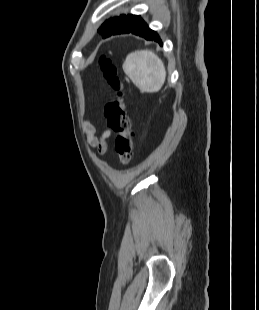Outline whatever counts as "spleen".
<instances>
[{
  "instance_id": "obj_1",
  "label": "spleen",
  "mask_w": 259,
  "mask_h": 310,
  "mask_svg": "<svg viewBox=\"0 0 259 310\" xmlns=\"http://www.w3.org/2000/svg\"><path fill=\"white\" fill-rule=\"evenodd\" d=\"M123 70L143 92H158L166 78L163 61L150 50H137L127 55Z\"/></svg>"
}]
</instances>
